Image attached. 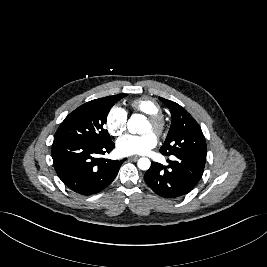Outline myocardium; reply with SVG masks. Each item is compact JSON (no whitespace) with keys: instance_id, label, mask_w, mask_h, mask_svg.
Here are the masks:
<instances>
[{"instance_id":"f54148a6","label":"myocardium","mask_w":267,"mask_h":267,"mask_svg":"<svg viewBox=\"0 0 267 267\" xmlns=\"http://www.w3.org/2000/svg\"><path fill=\"white\" fill-rule=\"evenodd\" d=\"M148 122L156 135L162 136L165 133L167 122L161 113L148 116Z\"/></svg>"}]
</instances>
